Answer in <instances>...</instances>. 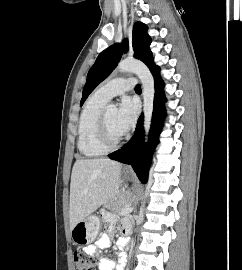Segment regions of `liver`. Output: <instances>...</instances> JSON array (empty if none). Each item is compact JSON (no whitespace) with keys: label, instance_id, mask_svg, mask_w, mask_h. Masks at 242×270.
Listing matches in <instances>:
<instances>
[{"label":"liver","instance_id":"1","mask_svg":"<svg viewBox=\"0 0 242 270\" xmlns=\"http://www.w3.org/2000/svg\"><path fill=\"white\" fill-rule=\"evenodd\" d=\"M122 164L107 158L81 159L73 166L70 183V229L101 205L120 197Z\"/></svg>","mask_w":242,"mask_h":270}]
</instances>
